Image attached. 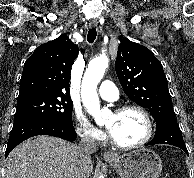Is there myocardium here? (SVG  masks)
I'll use <instances>...</instances> for the list:
<instances>
[{
    "label": "myocardium",
    "mask_w": 194,
    "mask_h": 178,
    "mask_svg": "<svg viewBox=\"0 0 194 178\" xmlns=\"http://www.w3.org/2000/svg\"><path fill=\"white\" fill-rule=\"evenodd\" d=\"M127 111H137L138 113H140L143 116V118L145 119V122H146V126H147L145 136L143 137V139L141 141H139L137 143L123 144V143H120L119 141H117L115 139V137L112 135V133L109 132V140L111 141V143L114 146H116L120 149L129 150V149L140 148V147L146 145L153 136L154 124H153L152 117L146 109H144L143 107H141L139 105H124V106L118 107L114 111V113L115 114H121V113H124V112H127Z\"/></svg>",
    "instance_id": "myocardium-1"
}]
</instances>
